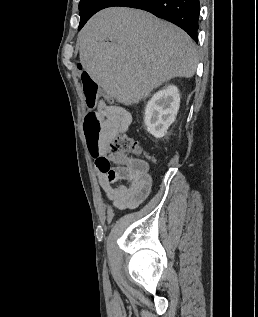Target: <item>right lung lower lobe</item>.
<instances>
[{"instance_id": "obj_1", "label": "right lung lower lobe", "mask_w": 258, "mask_h": 317, "mask_svg": "<svg viewBox=\"0 0 258 317\" xmlns=\"http://www.w3.org/2000/svg\"><path fill=\"white\" fill-rule=\"evenodd\" d=\"M124 6L148 11L182 28L198 42L199 0H87L80 9L79 30L101 9Z\"/></svg>"}]
</instances>
